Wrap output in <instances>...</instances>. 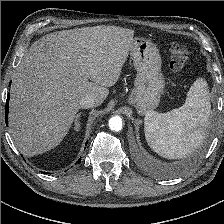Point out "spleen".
Wrapping results in <instances>:
<instances>
[{
  "instance_id": "obj_1",
  "label": "spleen",
  "mask_w": 224,
  "mask_h": 224,
  "mask_svg": "<svg viewBox=\"0 0 224 224\" xmlns=\"http://www.w3.org/2000/svg\"><path fill=\"white\" fill-rule=\"evenodd\" d=\"M210 112L208 84L204 78H198L181 107L167 113L149 111L146 114V141L164 158L185 157L202 144Z\"/></svg>"
}]
</instances>
